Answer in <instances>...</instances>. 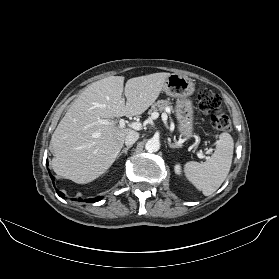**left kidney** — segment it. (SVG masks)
Returning a JSON list of instances; mask_svg holds the SVG:
<instances>
[{
	"instance_id": "5707ae66",
	"label": "left kidney",
	"mask_w": 279,
	"mask_h": 279,
	"mask_svg": "<svg viewBox=\"0 0 279 279\" xmlns=\"http://www.w3.org/2000/svg\"><path fill=\"white\" fill-rule=\"evenodd\" d=\"M175 173L180 175L181 174V166L180 164H176L175 165Z\"/></svg>"
}]
</instances>
